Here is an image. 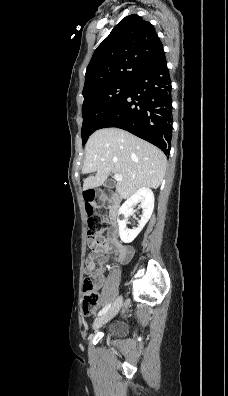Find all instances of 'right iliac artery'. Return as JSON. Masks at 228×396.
<instances>
[{"mask_svg":"<svg viewBox=\"0 0 228 396\" xmlns=\"http://www.w3.org/2000/svg\"><path fill=\"white\" fill-rule=\"evenodd\" d=\"M110 307H111V303L108 304V305H106V306L98 313V316L103 315L104 313H106V312L109 310Z\"/></svg>","mask_w":228,"mask_h":396,"instance_id":"obj_1","label":"right iliac artery"}]
</instances>
